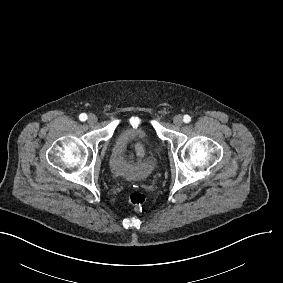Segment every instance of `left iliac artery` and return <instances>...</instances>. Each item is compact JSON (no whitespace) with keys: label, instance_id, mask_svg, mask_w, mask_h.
<instances>
[{"label":"left iliac artery","instance_id":"obj_1","mask_svg":"<svg viewBox=\"0 0 283 283\" xmlns=\"http://www.w3.org/2000/svg\"><path fill=\"white\" fill-rule=\"evenodd\" d=\"M183 121L185 123H189L191 121V117L189 115H185L184 118H183Z\"/></svg>","mask_w":283,"mask_h":283}]
</instances>
